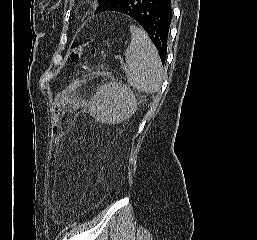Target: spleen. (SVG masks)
<instances>
[{
    "label": "spleen",
    "mask_w": 257,
    "mask_h": 240,
    "mask_svg": "<svg viewBox=\"0 0 257 240\" xmlns=\"http://www.w3.org/2000/svg\"><path fill=\"white\" fill-rule=\"evenodd\" d=\"M131 43L125 51V72L129 84L138 91L156 93L163 81L158 51L145 31L130 26Z\"/></svg>",
    "instance_id": "1"
}]
</instances>
